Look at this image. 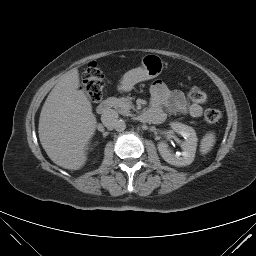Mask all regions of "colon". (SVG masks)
<instances>
[{
	"mask_svg": "<svg viewBox=\"0 0 256 256\" xmlns=\"http://www.w3.org/2000/svg\"><path fill=\"white\" fill-rule=\"evenodd\" d=\"M104 75L96 63H90L85 69L82 77V90L92 101H99L103 94ZM188 97L196 103H206L207 95L199 88L193 87L188 92ZM222 118V113L217 109H207L204 121L216 123Z\"/></svg>",
	"mask_w": 256,
	"mask_h": 256,
	"instance_id": "obj_1",
	"label": "colon"
}]
</instances>
